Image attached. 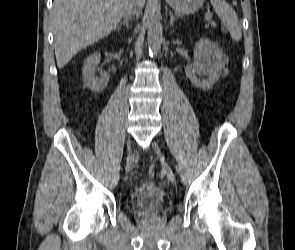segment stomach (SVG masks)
<instances>
[{"label":"stomach","mask_w":295,"mask_h":250,"mask_svg":"<svg viewBox=\"0 0 295 250\" xmlns=\"http://www.w3.org/2000/svg\"><path fill=\"white\" fill-rule=\"evenodd\" d=\"M175 11L190 14L198 11L205 0H165Z\"/></svg>","instance_id":"0dacf381"}]
</instances>
